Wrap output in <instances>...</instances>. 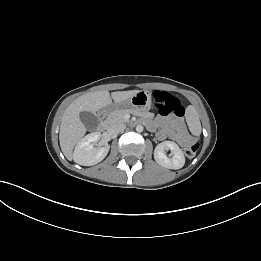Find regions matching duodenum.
<instances>
[{"instance_id":"duodenum-1","label":"duodenum","mask_w":261,"mask_h":261,"mask_svg":"<svg viewBox=\"0 0 261 261\" xmlns=\"http://www.w3.org/2000/svg\"><path fill=\"white\" fill-rule=\"evenodd\" d=\"M106 111H107V110H103V111L101 112V114H105ZM97 129H98L99 131H104V130L106 129V124H105L104 122H100V123L98 124Z\"/></svg>"}]
</instances>
